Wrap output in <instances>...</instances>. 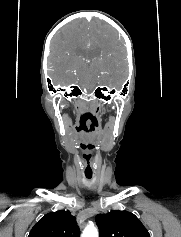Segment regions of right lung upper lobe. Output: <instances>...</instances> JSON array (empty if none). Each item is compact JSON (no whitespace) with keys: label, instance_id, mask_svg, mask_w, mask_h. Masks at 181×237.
Listing matches in <instances>:
<instances>
[{"label":"right lung upper lobe","instance_id":"cb5924a9","mask_svg":"<svg viewBox=\"0 0 181 237\" xmlns=\"http://www.w3.org/2000/svg\"><path fill=\"white\" fill-rule=\"evenodd\" d=\"M28 237H79V228L69 211L59 210L42 217Z\"/></svg>","mask_w":181,"mask_h":237}]
</instances>
